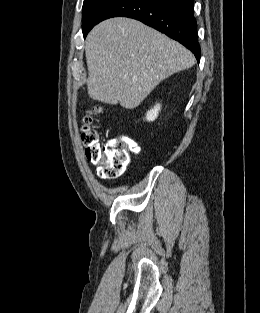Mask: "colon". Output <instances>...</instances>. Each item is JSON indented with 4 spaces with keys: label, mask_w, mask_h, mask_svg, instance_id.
Returning <instances> with one entry per match:
<instances>
[{
    "label": "colon",
    "mask_w": 260,
    "mask_h": 313,
    "mask_svg": "<svg viewBox=\"0 0 260 313\" xmlns=\"http://www.w3.org/2000/svg\"><path fill=\"white\" fill-rule=\"evenodd\" d=\"M102 112L96 106L85 115L81 127V140L85 154L96 166L97 175L101 178H115L123 174L130 161L132 145L124 135H116L105 142H100L98 134L91 128L93 115Z\"/></svg>",
    "instance_id": "1"
}]
</instances>
